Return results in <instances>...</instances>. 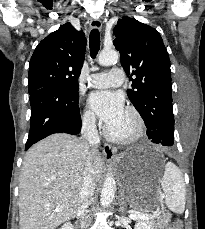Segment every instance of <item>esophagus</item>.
<instances>
[{
  "label": "esophagus",
  "instance_id": "esophagus-1",
  "mask_svg": "<svg viewBox=\"0 0 205 229\" xmlns=\"http://www.w3.org/2000/svg\"><path fill=\"white\" fill-rule=\"evenodd\" d=\"M90 27L92 29H97V30H101L102 28V22L99 19H92L90 22ZM103 151L105 154L106 159H112L115 154H116V148L113 147L112 145H110L109 143H105L103 146Z\"/></svg>",
  "mask_w": 205,
  "mask_h": 229
}]
</instances>
